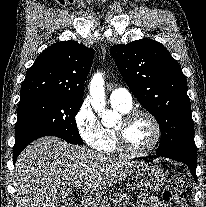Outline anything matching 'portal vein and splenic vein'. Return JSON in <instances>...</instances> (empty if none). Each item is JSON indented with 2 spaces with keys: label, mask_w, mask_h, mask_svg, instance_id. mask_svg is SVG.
<instances>
[{
  "label": "portal vein and splenic vein",
  "mask_w": 206,
  "mask_h": 207,
  "mask_svg": "<svg viewBox=\"0 0 206 207\" xmlns=\"http://www.w3.org/2000/svg\"><path fill=\"white\" fill-rule=\"evenodd\" d=\"M75 187L79 189L81 186H80V184H77Z\"/></svg>",
  "instance_id": "1"
}]
</instances>
